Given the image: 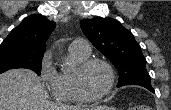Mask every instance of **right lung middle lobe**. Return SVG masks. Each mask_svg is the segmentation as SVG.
Instances as JSON below:
<instances>
[{
    "instance_id": "obj_1",
    "label": "right lung middle lobe",
    "mask_w": 171,
    "mask_h": 110,
    "mask_svg": "<svg viewBox=\"0 0 171 110\" xmlns=\"http://www.w3.org/2000/svg\"><path fill=\"white\" fill-rule=\"evenodd\" d=\"M44 54L26 51L22 48L6 45L0 47V74L14 68H27L41 74Z\"/></svg>"
}]
</instances>
